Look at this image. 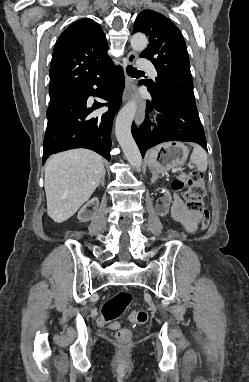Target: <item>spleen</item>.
<instances>
[{
  "label": "spleen",
  "mask_w": 249,
  "mask_h": 382,
  "mask_svg": "<svg viewBox=\"0 0 249 382\" xmlns=\"http://www.w3.org/2000/svg\"><path fill=\"white\" fill-rule=\"evenodd\" d=\"M191 163L195 164L200 172H204L207 169V154L198 145H194L193 152L190 157Z\"/></svg>",
  "instance_id": "obj_1"
}]
</instances>
